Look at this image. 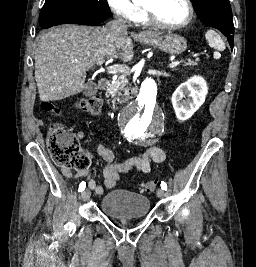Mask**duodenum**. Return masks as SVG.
Instances as JSON below:
<instances>
[{
	"instance_id": "410a0bca",
	"label": "duodenum",
	"mask_w": 256,
	"mask_h": 267,
	"mask_svg": "<svg viewBox=\"0 0 256 267\" xmlns=\"http://www.w3.org/2000/svg\"><path fill=\"white\" fill-rule=\"evenodd\" d=\"M108 86H109V79L108 78L103 77V78L99 79L98 87H99V89L101 91L106 90L108 88ZM126 100L127 101H134L135 100V95L132 94L131 96H127Z\"/></svg>"
}]
</instances>
